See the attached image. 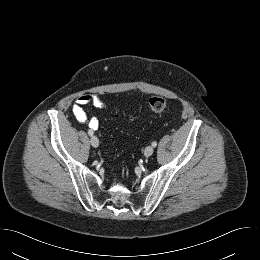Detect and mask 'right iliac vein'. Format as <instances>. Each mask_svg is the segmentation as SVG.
Instances as JSON below:
<instances>
[{
	"label": "right iliac vein",
	"instance_id": "obj_1",
	"mask_svg": "<svg viewBox=\"0 0 260 260\" xmlns=\"http://www.w3.org/2000/svg\"><path fill=\"white\" fill-rule=\"evenodd\" d=\"M90 142L93 147H98L99 145V140L96 136H92Z\"/></svg>",
	"mask_w": 260,
	"mask_h": 260
}]
</instances>
